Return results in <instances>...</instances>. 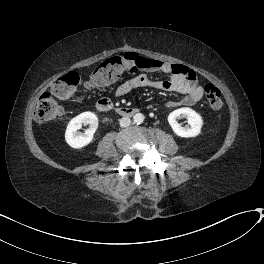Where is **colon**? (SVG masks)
<instances>
[{
  "mask_svg": "<svg viewBox=\"0 0 264 264\" xmlns=\"http://www.w3.org/2000/svg\"><path fill=\"white\" fill-rule=\"evenodd\" d=\"M139 68V59L134 54L113 57L96 67L90 81L84 86H81L77 73L69 72L55 80L38 98L35 118L41 123L57 120L63 115V107L59 99L77 101L78 93L82 88L95 89L107 85L116 81L125 73H135ZM205 96L211 108H221L222 93L218 87L207 84L205 86Z\"/></svg>",
  "mask_w": 264,
  "mask_h": 264,
  "instance_id": "colon-1",
  "label": "colon"
}]
</instances>
